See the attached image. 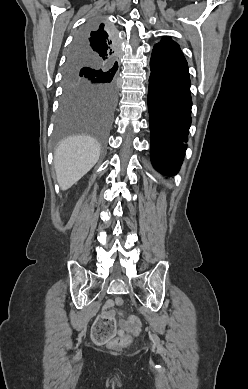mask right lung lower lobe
Here are the masks:
<instances>
[{
  "label": "right lung lower lobe",
  "instance_id": "right-lung-lower-lobe-1",
  "mask_svg": "<svg viewBox=\"0 0 248 389\" xmlns=\"http://www.w3.org/2000/svg\"><path fill=\"white\" fill-rule=\"evenodd\" d=\"M107 31H108L109 36H110V42H112L113 47H116V45H117V39H116L115 34H114L112 31H110L108 28H107ZM81 39H82V38H80L79 40H81ZM80 46H81L80 43H74V44H73V48H77V49H80V50L84 51L82 48H80ZM84 52H86V51H84ZM86 53H87V52H86Z\"/></svg>",
  "mask_w": 248,
  "mask_h": 389
}]
</instances>
